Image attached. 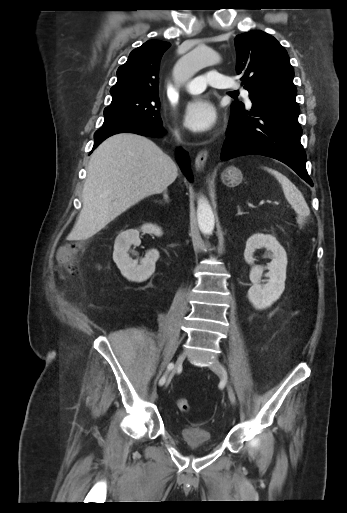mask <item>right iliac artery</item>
Listing matches in <instances>:
<instances>
[{"label": "right iliac artery", "instance_id": "right-iliac-artery-1", "mask_svg": "<svg viewBox=\"0 0 347 513\" xmlns=\"http://www.w3.org/2000/svg\"><path fill=\"white\" fill-rule=\"evenodd\" d=\"M173 368H174V364L173 363H169L168 366H167L166 374L159 380V384L160 385H163L165 383L166 377H167V373L170 372Z\"/></svg>", "mask_w": 347, "mask_h": 513}]
</instances>
